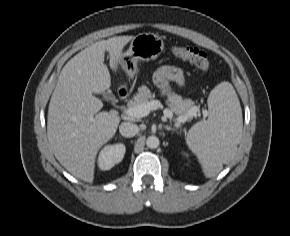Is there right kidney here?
<instances>
[{
    "label": "right kidney",
    "instance_id": "1",
    "mask_svg": "<svg viewBox=\"0 0 290 236\" xmlns=\"http://www.w3.org/2000/svg\"><path fill=\"white\" fill-rule=\"evenodd\" d=\"M126 148L123 143L106 145L99 153L98 166L101 170H109L122 161Z\"/></svg>",
    "mask_w": 290,
    "mask_h": 236
}]
</instances>
